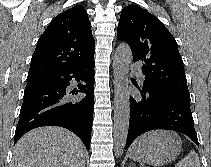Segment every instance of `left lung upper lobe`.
<instances>
[{
	"label": "left lung upper lobe",
	"instance_id": "obj_1",
	"mask_svg": "<svg viewBox=\"0 0 211 167\" xmlns=\"http://www.w3.org/2000/svg\"><path fill=\"white\" fill-rule=\"evenodd\" d=\"M117 37L130 46L133 61L142 63L144 89L190 103L177 42L157 17L138 5H129L122 10Z\"/></svg>",
	"mask_w": 211,
	"mask_h": 167
}]
</instances>
